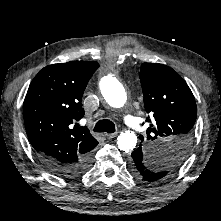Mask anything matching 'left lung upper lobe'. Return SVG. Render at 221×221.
Returning <instances> with one entry per match:
<instances>
[{
    "label": "left lung upper lobe",
    "instance_id": "obj_1",
    "mask_svg": "<svg viewBox=\"0 0 221 221\" xmlns=\"http://www.w3.org/2000/svg\"><path fill=\"white\" fill-rule=\"evenodd\" d=\"M139 77L145 110L153 116L146 119L151 123L147 129V162L159 174L155 182H161L174 173L191 147L196 102L183 78L166 65L143 63Z\"/></svg>",
    "mask_w": 221,
    "mask_h": 221
}]
</instances>
